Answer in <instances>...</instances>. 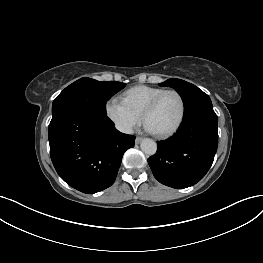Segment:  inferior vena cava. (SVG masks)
Instances as JSON below:
<instances>
[{
	"instance_id": "1",
	"label": "inferior vena cava",
	"mask_w": 263,
	"mask_h": 263,
	"mask_svg": "<svg viewBox=\"0 0 263 263\" xmlns=\"http://www.w3.org/2000/svg\"><path fill=\"white\" fill-rule=\"evenodd\" d=\"M119 130L126 134H132L133 130L130 126L120 127Z\"/></svg>"
}]
</instances>
